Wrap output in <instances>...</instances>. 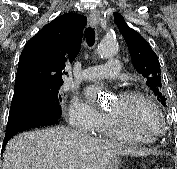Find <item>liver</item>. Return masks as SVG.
<instances>
[{
  "mask_svg": "<svg viewBox=\"0 0 177 169\" xmlns=\"http://www.w3.org/2000/svg\"><path fill=\"white\" fill-rule=\"evenodd\" d=\"M122 144L66 128L25 132L5 147L2 169H106L119 155H139Z\"/></svg>",
  "mask_w": 177,
  "mask_h": 169,
  "instance_id": "1",
  "label": "liver"
}]
</instances>
